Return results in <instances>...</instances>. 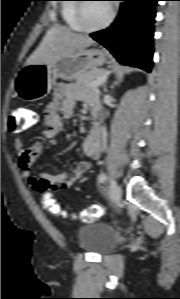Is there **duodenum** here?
<instances>
[{"mask_svg": "<svg viewBox=\"0 0 180 299\" xmlns=\"http://www.w3.org/2000/svg\"><path fill=\"white\" fill-rule=\"evenodd\" d=\"M99 122H100V116L97 114L93 118V126L98 127Z\"/></svg>", "mask_w": 180, "mask_h": 299, "instance_id": "1", "label": "duodenum"}]
</instances>
